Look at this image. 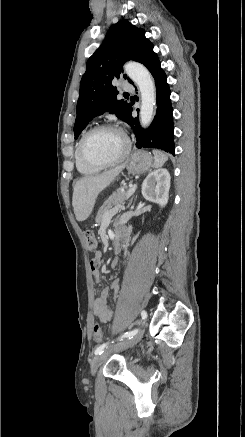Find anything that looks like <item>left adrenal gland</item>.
Returning a JSON list of instances; mask_svg holds the SVG:
<instances>
[{
  "label": "left adrenal gland",
  "mask_w": 245,
  "mask_h": 437,
  "mask_svg": "<svg viewBox=\"0 0 245 437\" xmlns=\"http://www.w3.org/2000/svg\"><path fill=\"white\" fill-rule=\"evenodd\" d=\"M132 201H133V198L130 200V203L128 204V207H127V208H129V207L131 206Z\"/></svg>",
  "instance_id": "a2214340"
}]
</instances>
